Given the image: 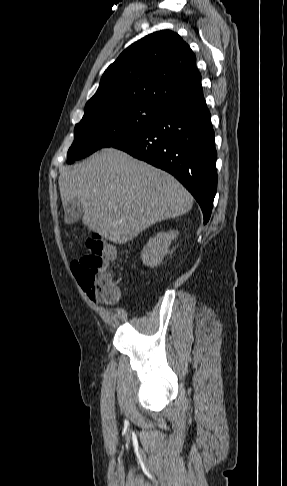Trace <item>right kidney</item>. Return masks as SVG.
I'll return each mask as SVG.
<instances>
[{"label": "right kidney", "instance_id": "right-kidney-1", "mask_svg": "<svg viewBox=\"0 0 287 486\" xmlns=\"http://www.w3.org/2000/svg\"><path fill=\"white\" fill-rule=\"evenodd\" d=\"M178 231L159 232L155 237L149 239L143 248L141 259L144 265L155 267L168 252L171 241L176 238Z\"/></svg>", "mask_w": 287, "mask_h": 486}]
</instances>
